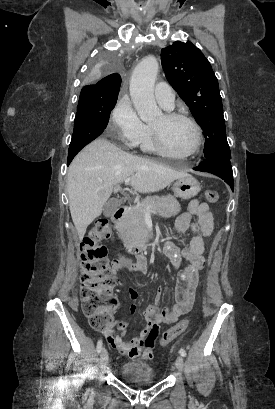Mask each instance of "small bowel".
Instances as JSON below:
<instances>
[{
  "mask_svg": "<svg viewBox=\"0 0 275 409\" xmlns=\"http://www.w3.org/2000/svg\"><path fill=\"white\" fill-rule=\"evenodd\" d=\"M176 229L179 234V241H184V235L189 232L188 243L183 247L169 246L167 249L170 262L174 268H178L181 257L186 258L188 266L181 270L177 276L176 302L172 307L160 308L157 303L161 299L162 287H157L155 292V304L149 305L143 312V317L148 325L144 327L145 334L139 337L124 338L122 335L110 333L108 330L103 332L104 339L112 351H129L127 358L129 360H152L157 349V335L161 332L157 323L172 324L177 319L187 313L193 306L196 290L199 284V272L205 264L203 253L205 250L204 238L211 235L213 230V219L209 206L205 202L194 199L189 204V210L181 214L176 220ZM129 269L131 271L143 274L146 272V262L144 259L137 261L127 260L123 263H116L113 271ZM126 278L116 277L115 283H126ZM129 295L132 299L138 297V292L132 286L128 285ZM121 305V304H120ZM136 310L135 305H131L129 312L133 314ZM115 330L119 333L125 332L127 321L120 319ZM123 339V340H122Z\"/></svg>",
  "mask_w": 275,
  "mask_h": 409,
  "instance_id": "small-bowel-1",
  "label": "small bowel"
}]
</instances>
